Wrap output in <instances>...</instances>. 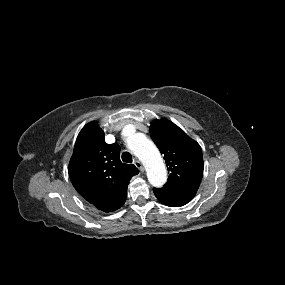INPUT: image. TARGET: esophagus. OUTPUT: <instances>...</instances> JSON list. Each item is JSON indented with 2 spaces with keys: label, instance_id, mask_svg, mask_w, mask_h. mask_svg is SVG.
<instances>
[{
  "label": "esophagus",
  "instance_id": "34e87169",
  "mask_svg": "<svg viewBox=\"0 0 285 285\" xmlns=\"http://www.w3.org/2000/svg\"><path fill=\"white\" fill-rule=\"evenodd\" d=\"M134 164L141 172L144 171V167H143L142 163L139 160H135Z\"/></svg>",
  "mask_w": 285,
  "mask_h": 285
}]
</instances>
